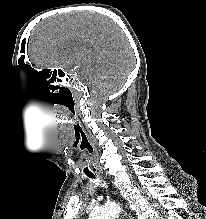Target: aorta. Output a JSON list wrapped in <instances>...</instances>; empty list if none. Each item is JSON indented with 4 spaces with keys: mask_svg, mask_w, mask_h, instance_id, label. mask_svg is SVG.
I'll return each instance as SVG.
<instances>
[{
    "mask_svg": "<svg viewBox=\"0 0 206 219\" xmlns=\"http://www.w3.org/2000/svg\"><path fill=\"white\" fill-rule=\"evenodd\" d=\"M119 214V207L116 204H107L100 208L94 209L89 219H117Z\"/></svg>",
    "mask_w": 206,
    "mask_h": 219,
    "instance_id": "1",
    "label": "aorta"
}]
</instances>
